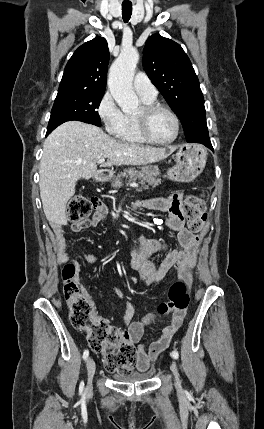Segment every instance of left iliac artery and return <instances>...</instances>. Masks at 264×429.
Here are the masks:
<instances>
[{"instance_id": "left-iliac-artery-1", "label": "left iliac artery", "mask_w": 264, "mask_h": 429, "mask_svg": "<svg viewBox=\"0 0 264 429\" xmlns=\"http://www.w3.org/2000/svg\"><path fill=\"white\" fill-rule=\"evenodd\" d=\"M171 355L174 359H178V357H179V354L176 350L172 351Z\"/></svg>"}]
</instances>
